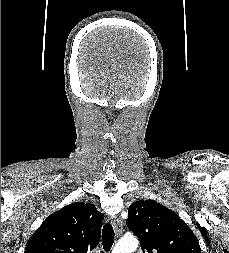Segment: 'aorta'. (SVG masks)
<instances>
[{"label": "aorta", "mask_w": 229, "mask_h": 253, "mask_svg": "<svg viewBox=\"0 0 229 253\" xmlns=\"http://www.w3.org/2000/svg\"><path fill=\"white\" fill-rule=\"evenodd\" d=\"M137 247L136 238H123L115 245L112 253H133Z\"/></svg>", "instance_id": "obj_1"}]
</instances>
